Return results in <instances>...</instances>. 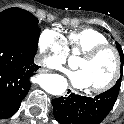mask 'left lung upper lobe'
<instances>
[{"label":"left lung upper lobe","instance_id":"obj_1","mask_svg":"<svg viewBox=\"0 0 124 124\" xmlns=\"http://www.w3.org/2000/svg\"><path fill=\"white\" fill-rule=\"evenodd\" d=\"M116 46H117V49H118L119 54H120L121 63L123 64V62H124V55H123L122 48H121V46H120V44L118 42H116ZM122 75H123V73L121 74L120 78L118 79V81L116 82V85L114 87L120 88Z\"/></svg>","mask_w":124,"mask_h":124}]
</instances>
